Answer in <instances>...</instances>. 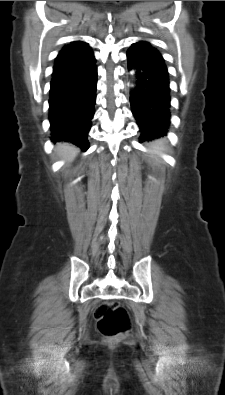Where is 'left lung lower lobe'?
Returning <instances> with one entry per match:
<instances>
[{
	"label": "left lung lower lobe",
	"instance_id": "obj_1",
	"mask_svg": "<svg viewBox=\"0 0 225 395\" xmlns=\"http://www.w3.org/2000/svg\"><path fill=\"white\" fill-rule=\"evenodd\" d=\"M129 71L134 72L132 113L141 131L140 142L163 137L170 125V81L164 60L139 59L127 52Z\"/></svg>",
	"mask_w": 225,
	"mask_h": 395
}]
</instances>
